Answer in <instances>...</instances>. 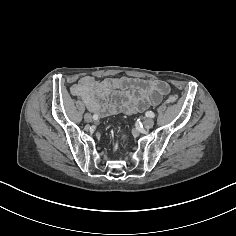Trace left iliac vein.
I'll list each match as a JSON object with an SVG mask.
<instances>
[{"label":"left iliac vein","mask_w":236,"mask_h":236,"mask_svg":"<svg viewBox=\"0 0 236 236\" xmlns=\"http://www.w3.org/2000/svg\"><path fill=\"white\" fill-rule=\"evenodd\" d=\"M143 124H144V127H145V128L149 129V128H152V127H153L154 121H153V119L148 118V119H146V120L144 121Z\"/></svg>","instance_id":"1"}]
</instances>
